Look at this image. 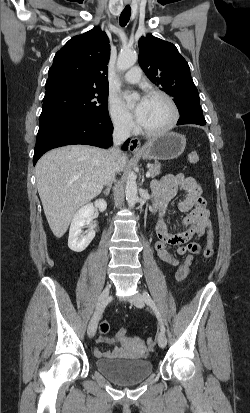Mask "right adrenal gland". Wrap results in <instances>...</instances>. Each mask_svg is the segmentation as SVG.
Segmentation results:
<instances>
[{
  "label": "right adrenal gland",
  "mask_w": 250,
  "mask_h": 413,
  "mask_svg": "<svg viewBox=\"0 0 250 413\" xmlns=\"http://www.w3.org/2000/svg\"><path fill=\"white\" fill-rule=\"evenodd\" d=\"M110 188H111V186H108V188L103 191V193H104L105 196H108V195H109V193H110Z\"/></svg>",
  "instance_id": "1"
}]
</instances>
